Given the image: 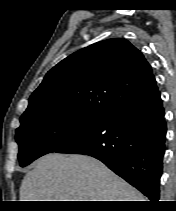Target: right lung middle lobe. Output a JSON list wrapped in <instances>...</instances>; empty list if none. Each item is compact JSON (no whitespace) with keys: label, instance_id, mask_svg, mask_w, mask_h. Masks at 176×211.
I'll use <instances>...</instances> for the list:
<instances>
[{"label":"right lung middle lobe","instance_id":"right-lung-middle-lobe-1","mask_svg":"<svg viewBox=\"0 0 176 211\" xmlns=\"http://www.w3.org/2000/svg\"><path fill=\"white\" fill-rule=\"evenodd\" d=\"M107 115L74 109L48 108L20 119L15 139L21 167L38 157L56 152L98 126Z\"/></svg>","mask_w":176,"mask_h":211}]
</instances>
